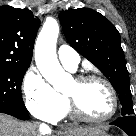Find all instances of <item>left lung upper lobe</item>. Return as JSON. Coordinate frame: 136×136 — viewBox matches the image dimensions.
<instances>
[{
    "instance_id": "1",
    "label": "left lung upper lobe",
    "mask_w": 136,
    "mask_h": 136,
    "mask_svg": "<svg viewBox=\"0 0 136 136\" xmlns=\"http://www.w3.org/2000/svg\"><path fill=\"white\" fill-rule=\"evenodd\" d=\"M59 20L69 44L92 62L119 94L121 116L133 115L128 71L115 26L102 14L88 8L62 11Z\"/></svg>"
}]
</instances>
